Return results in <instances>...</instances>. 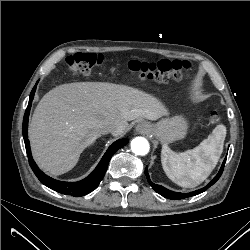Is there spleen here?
Instances as JSON below:
<instances>
[{
  "label": "spleen",
  "instance_id": "1",
  "mask_svg": "<svg viewBox=\"0 0 250 250\" xmlns=\"http://www.w3.org/2000/svg\"><path fill=\"white\" fill-rule=\"evenodd\" d=\"M225 135V126L218 125L208 139L194 149L176 153L168 145H163L161 162L168 178L186 188L206 180L222 154Z\"/></svg>",
  "mask_w": 250,
  "mask_h": 250
}]
</instances>
